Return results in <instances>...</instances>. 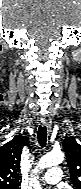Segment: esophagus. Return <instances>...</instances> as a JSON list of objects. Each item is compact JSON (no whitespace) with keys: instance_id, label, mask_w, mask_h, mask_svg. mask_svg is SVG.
Masks as SVG:
<instances>
[{"instance_id":"34e87169","label":"esophagus","mask_w":81,"mask_h":189,"mask_svg":"<svg viewBox=\"0 0 81 189\" xmlns=\"http://www.w3.org/2000/svg\"><path fill=\"white\" fill-rule=\"evenodd\" d=\"M41 124L43 126H46L49 131L51 130V121L46 116H42V118H41Z\"/></svg>"}]
</instances>
